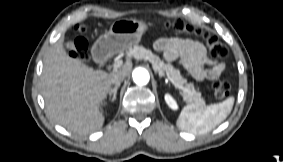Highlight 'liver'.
<instances>
[{
    "label": "liver",
    "mask_w": 283,
    "mask_h": 162,
    "mask_svg": "<svg viewBox=\"0 0 283 162\" xmlns=\"http://www.w3.org/2000/svg\"><path fill=\"white\" fill-rule=\"evenodd\" d=\"M131 62L119 70L107 73L94 70L77 59L70 58L57 41L44 58L41 90L46 110L57 124L76 134H90L102 128L105 117L100 109L111 90L112 75H129Z\"/></svg>",
    "instance_id": "liver-1"
}]
</instances>
